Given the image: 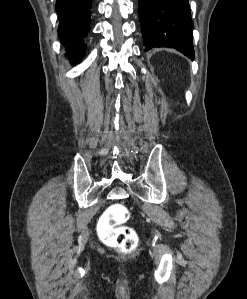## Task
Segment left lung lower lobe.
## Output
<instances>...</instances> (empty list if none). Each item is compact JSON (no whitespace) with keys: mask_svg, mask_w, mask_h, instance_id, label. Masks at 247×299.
I'll use <instances>...</instances> for the list:
<instances>
[{"mask_svg":"<svg viewBox=\"0 0 247 299\" xmlns=\"http://www.w3.org/2000/svg\"><path fill=\"white\" fill-rule=\"evenodd\" d=\"M138 8L145 51L168 47L194 58L188 0H138Z\"/></svg>","mask_w":247,"mask_h":299,"instance_id":"obj_1","label":"left lung lower lobe"}]
</instances>
